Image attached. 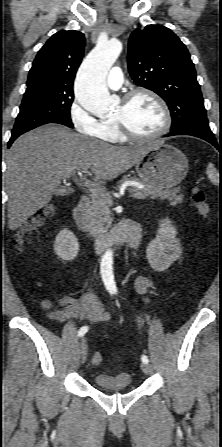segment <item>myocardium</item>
<instances>
[{"mask_svg":"<svg viewBox=\"0 0 222 447\" xmlns=\"http://www.w3.org/2000/svg\"><path fill=\"white\" fill-rule=\"evenodd\" d=\"M138 95L149 96L161 108V111H162V114L164 117V121H163V125L160 128V130L152 135H139V134L135 133L128 126V124L126 123V121L124 120L123 117H115L113 122L116 124V126L118 127V129H119L120 133L123 135V137H125L129 140L136 141V142H148V141H153V140L161 138L169 131V129L172 125V115H171V111H170L167 103L159 94H157L153 90L148 89V88H137L135 90H132V91L126 93L123 96V98H122L123 105H127L128 103H130L132 101L133 98H135Z\"/></svg>","mask_w":222,"mask_h":447,"instance_id":"f54148a6","label":"myocardium"}]
</instances>
